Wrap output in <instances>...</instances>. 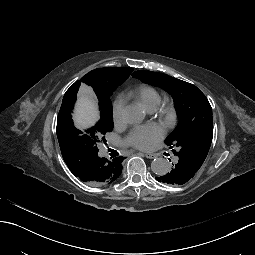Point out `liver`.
I'll return each instance as SVG.
<instances>
[{"label":"liver","mask_w":255,"mask_h":255,"mask_svg":"<svg viewBox=\"0 0 255 255\" xmlns=\"http://www.w3.org/2000/svg\"><path fill=\"white\" fill-rule=\"evenodd\" d=\"M73 119L78 129H87L99 119L97 100L86 86H83L78 92Z\"/></svg>","instance_id":"6515ba94"}]
</instances>
